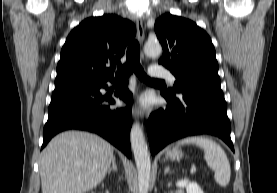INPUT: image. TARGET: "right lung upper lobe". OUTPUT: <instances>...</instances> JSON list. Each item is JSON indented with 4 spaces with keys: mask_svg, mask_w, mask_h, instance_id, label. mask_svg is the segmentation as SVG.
<instances>
[{
    "mask_svg": "<svg viewBox=\"0 0 277 193\" xmlns=\"http://www.w3.org/2000/svg\"><path fill=\"white\" fill-rule=\"evenodd\" d=\"M135 25L114 14L82 21L66 39L57 65L55 89L96 86L113 79L115 65Z\"/></svg>",
    "mask_w": 277,
    "mask_h": 193,
    "instance_id": "obj_1",
    "label": "right lung upper lobe"
}]
</instances>
